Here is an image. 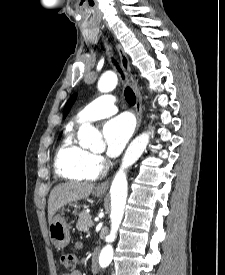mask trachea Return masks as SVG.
Returning a JSON list of instances; mask_svg holds the SVG:
<instances>
[{
  "mask_svg": "<svg viewBox=\"0 0 225 275\" xmlns=\"http://www.w3.org/2000/svg\"><path fill=\"white\" fill-rule=\"evenodd\" d=\"M115 65L117 66V69L119 71V73L121 74L122 78L124 79V75L122 73V70L120 69V67L118 66V64L114 61ZM124 96L126 101L130 104V105H134L136 102V97L135 94L133 92V90L130 87H126L124 90Z\"/></svg>",
  "mask_w": 225,
  "mask_h": 275,
  "instance_id": "obj_1",
  "label": "trachea"
}]
</instances>
